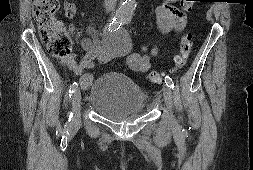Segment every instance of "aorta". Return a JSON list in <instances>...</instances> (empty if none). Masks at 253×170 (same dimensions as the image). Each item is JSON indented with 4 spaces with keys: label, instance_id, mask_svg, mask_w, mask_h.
Segmentation results:
<instances>
[{
    "label": "aorta",
    "instance_id": "aorta-1",
    "mask_svg": "<svg viewBox=\"0 0 253 170\" xmlns=\"http://www.w3.org/2000/svg\"><path fill=\"white\" fill-rule=\"evenodd\" d=\"M136 8V0H123L117 11L120 18L130 16Z\"/></svg>",
    "mask_w": 253,
    "mask_h": 170
}]
</instances>
